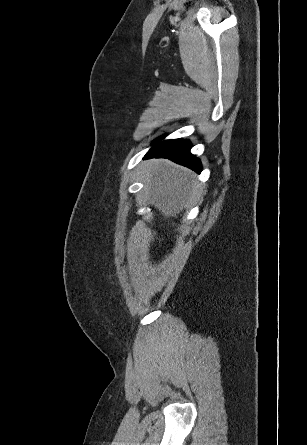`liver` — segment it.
<instances>
[{"label":"liver","instance_id":"6515ba94","mask_svg":"<svg viewBox=\"0 0 307 445\" xmlns=\"http://www.w3.org/2000/svg\"><path fill=\"white\" fill-rule=\"evenodd\" d=\"M146 176L151 202L165 216H175L201 194L194 172L166 160H153Z\"/></svg>","mask_w":307,"mask_h":445}]
</instances>
